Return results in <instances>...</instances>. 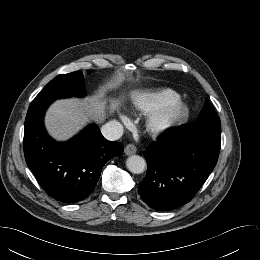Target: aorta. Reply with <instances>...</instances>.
Listing matches in <instances>:
<instances>
[{
	"label": "aorta",
	"mask_w": 260,
	"mask_h": 260,
	"mask_svg": "<svg viewBox=\"0 0 260 260\" xmlns=\"http://www.w3.org/2000/svg\"><path fill=\"white\" fill-rule=\"evenodd\" d=\"M126 166L130 172L134 174H140L144 172L146 168V161L143 157L139 155H132L128 157L126 161Z\"/></svg>",
	"instance_id": "1"
}]
</instances>
